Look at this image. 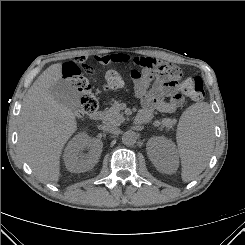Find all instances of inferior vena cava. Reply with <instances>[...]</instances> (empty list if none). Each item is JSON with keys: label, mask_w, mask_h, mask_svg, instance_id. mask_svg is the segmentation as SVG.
<instances>
[{"label": "inferior vena cava", "mask_w": 245, "mask_h": 245, "mask_svg": "<svg viewBox=\"0 0 245 245\" xmlns=\"http://www.w3.org/2000/svg\"><path fill=\"white\" fill-rule=\"evenodd\" d=\"M105 130L110 133V134H113V135H119L120 133V129L118 127H115V126H106Z\"/></svg>", "instance_id": "obj_1"}]
</instances>
